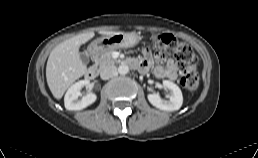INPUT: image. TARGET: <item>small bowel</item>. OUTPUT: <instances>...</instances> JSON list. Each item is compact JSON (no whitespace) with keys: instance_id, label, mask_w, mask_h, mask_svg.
Segmentation results:
<instances>
[{"instance_id":"obj_1","label":"small bowel","mask_w":258,"mask_h":158,"mask_svg":"<svg viewBox=\"0 0 258 158\" xmlns=\"http://www.w3.org/2000/svg\"><path fill=\"white\" fill-rule=\"evenodd\" d=\"M143 58L136 60L140 64V71L146 72L149 69H153V73L157 78H166L169 80H175L178 77V69L174 62L166 57L165 53L153 54L149 48H144L142 50ZM157 61H164V65H155Z\"/></svg>"}]
</instances>
